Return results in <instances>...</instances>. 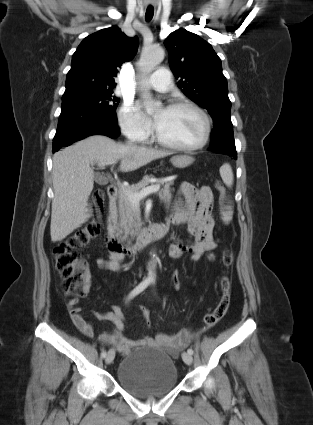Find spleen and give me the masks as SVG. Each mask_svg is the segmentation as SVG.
<instances>
[{"instance_id":"obj_1","label":"spleen","mask_w":313,"mask_h":425,"mask_svg":"<svg viewBox=\"0 0 313 425\" xmlns=\"http://www.w3.org/2000/svg\"><path fill=\"white\" fill-rule=\"evenodd\" d=\"M220 176L227 187L233 185V172L229 163H225L220 167ZM232 219V211L223 214V220L229 222Z\"/></svg>"}]
</instances>
